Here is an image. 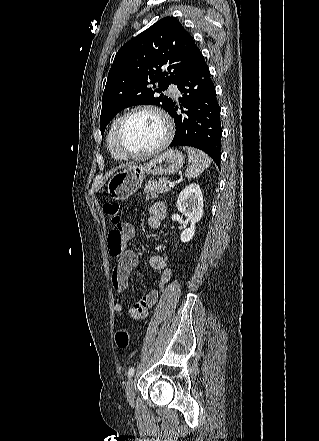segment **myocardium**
I'll use <instances>...</instances> for the list:
<instances>
[{
	"label": "myocardium",
	"instance_id": "f54148a6",
	"mask_svg": "<svg viewBox=\"0 0 319 441\" xmlns=\"http://www.w3.org/2000/svg\"><path fill=\"white\" fill-rule=\"evenodd\" d=\"M151 112L158 116L164 125V137L162 141L155 147L143 152H131L127 150L121 141V131L127 119L137 112ZM174 134V126L169 115L160 107L150 104L137 105L126 111L119 119L115 129V144L117 149L127 158H146L163 151L172 140Z\"/></svg>",
	"mask_w": 319,
	"mask_h": 441
}]
</instances>
